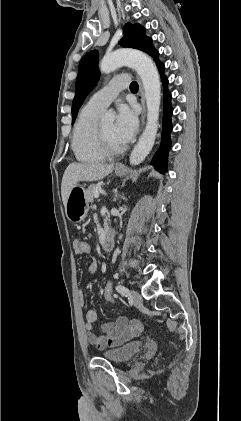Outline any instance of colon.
<instances>
[{"label": "colon", "instance_id": "1", "mask_svg": "<svg viewBox=\"0 0 241 421\" xmlns=\"http://www.w3.org/2000/svg\"><path fill=\"white\" fill-rule=\"evenodd\" d=\"M75 251L78 254L86 255L90 252V245H89L88 242L80 240L76 244ZM103 296H104V299L108 303H110V304L114 303L115 295H114V292H113L112 283L109 282V281L106 282L104 287H103Z\"/></svg>", "mask_w": 241, "mask_h": 421}]
</instances>
